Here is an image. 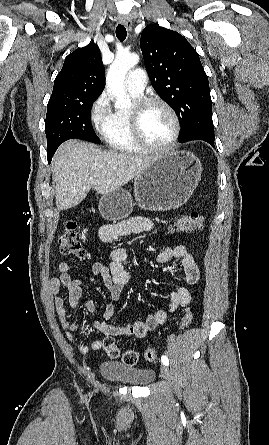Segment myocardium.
<instances>
[{
	"instance_id": "f54148a6",
	"label": "myocardium",
	"mask_w": 269,
	"mask_h": 445,
	"mask_svg": "<svg viewBox=\"0 0 269 445\" xmlns=\"http://www.w3.org/2000/svg\"><path fill=\"white\" fill-rule=\"evenodd\" d=\"M155 105L163 107L168 112V114L170 115V117L173 121V126H174L172 136L165 144H163L161 146L151 145L145 139V137L142 133V127H141V121H142L143 114L149 107L155 106ZM130 125H131L132 134H133V137H134V140L136 141V143L143 150H145L147 152H151V153H164V152L168 151L169 149H171L177 142L179 135H180V131H181L180 120H179L177 113L173 109V107L171 105H169L166 101H164L160 98H156V97L142 98L136 102L135 106L130 111Z\"/></svg>"
}]
</instances>
